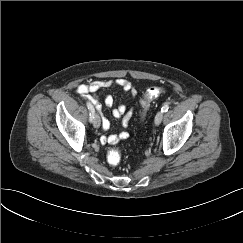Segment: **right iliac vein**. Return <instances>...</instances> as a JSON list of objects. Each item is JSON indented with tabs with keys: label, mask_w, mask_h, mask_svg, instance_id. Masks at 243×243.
<instances>
[{
	"label": "right iliac vein",
	"mask_w": 243,
	"mask_h": 243,
	"mask_svg": "<svg viewBox=\"0 0 243 243\" xmlns=\"http://www.w3.org/2000/svg\"><path fill=\"white\" fill-rule=\"evenodd\" d=\"M92 123L95 128H99L101 124L100 117L95 111L93 112Z\"/></svg>",
	"instance_id": "63e3f726"
}]
</instances>
